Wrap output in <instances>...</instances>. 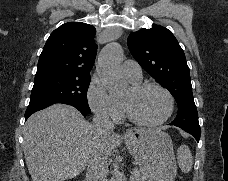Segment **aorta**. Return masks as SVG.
<instances>
[{
  "label": "aorta",
  "instance_id": "1",
  "mask_svg": "<svg viewBox=\"0 0 228 181\" xmlns=\"http://www.w3.org/2000/svg\"><path fill=\"white\" fill-rule=\"evenodd\" d=\"M122 58V47L116 42L107 44L98 57L97 72L104 86L113 96L122 94L127 88V82L123 79L119 70ZM111 180L117 181L116 178Z\"/></svg>",
  "mask_w": 228,
  "mask_h": 181
}]
</instances>
